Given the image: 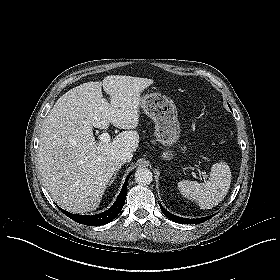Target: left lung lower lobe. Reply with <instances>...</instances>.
<instances>
[{"instance_id":"obj_1","label":"left lung lower lobe","mask_w":280,"mask_h":280,"mask_svg":"<svg viewBox=\"0 0 280 280\" xmlns=\"http://www.w3.org/2000/svg\"><path fill=\"white\" fill-rule=\"evenodd\" d=\"M161 211L163 212L164 215H166L169 219H171L174 222L181 223V224H198L207 221L210 219L212 216L209 217H204V218H198V219H187V218H181L178 216H175L165 210L161 205H160Z\"/></svg>"}]
</instances>
